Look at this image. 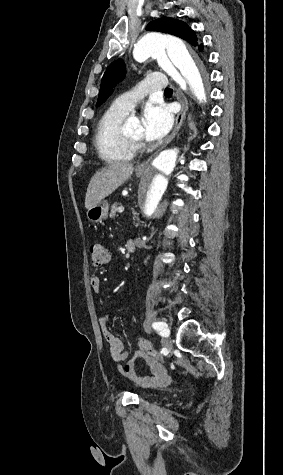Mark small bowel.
Returning a JSON list of instances; mask_svg holds the SVG:
<instances>
[{"label":"small bowel","instance_id":"c3829d8e","mask_svg":"<svg viewBox=\"0 0 283 475\" xmlns=\"http://www.w3.org/2000/svg\"><path fill=\"white\" fill-rule=\"evenodd\" d=\"M90 285L92 290L98 293L101 289V279L96 275L92 276L90 279ZM99 323L101 333L110 346V355L112 360L117 363L126 362L121 368V371L127 378L138 384H159L169 380V375L164 366L162 369H150L152 373L151 376H138L135 371L137 362L129 361V351L125 349L122 339L116 336L110 328L109 315L107 313H103L100 317Z\"/></svg>","mask_w":283,"mask_h":475}]
</instances>
